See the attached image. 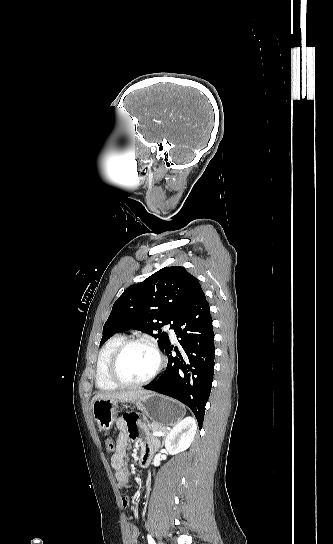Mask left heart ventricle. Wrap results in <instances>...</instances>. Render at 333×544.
I'll use <instances>...</instances> for the list:
<instances>
[{"instance_id":"left-heart-ventricle-1","label":"left heart ventricle","mask_w":333,"mask_h":544,"mask_svg":"<svg viewBox=\"0 0 333 544\" xmlns=\"http://www.w3.org/2000/svg\"><path fill=\"white\" fill-rule=\"evenodd\" d=\"M156 366V357L147 347L134 345L129 347L119 362V374L128 382H137L147 378Z\"/></svg>"}]
</instances>
